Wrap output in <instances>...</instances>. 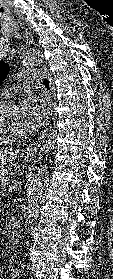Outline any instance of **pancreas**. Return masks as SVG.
I'll return each mask as SVG.
<instances>
[{"label":"pancreas","mask_w":113,"mask_h":279,"mask_svg":"<svg viewBox=\"0 0 113 279\" xmlns=\"http://www.w3.org/2000/svg\"><path fill=\"white\" fill-rule=\"evenodd\" d=\"M8 180L6 178L2 179L0 182V194H5L7 190Z\"/></svg>","instance_id":"obj_1"}]
</instances>
